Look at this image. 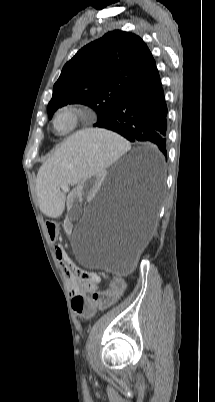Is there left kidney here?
Masks as SVG:
<instances>
[{
    "label": "left kidney",
    "instance_id": "left-kidney-1",
    "mask_svg": "<svg viewBox=\"0 0 215 402\" xmlns=\"http://www.w3.org/2000/svg\"><path fill=\"white\" fill-rule=\"evenodd\" d=\"M103 175L104 172L99 170L94 175H86L85 178L82 179V184H75L72 191L69 193V205H80L81 200H92L94 198V193L99 191L98 184L103 179ZM75 226L76 223L74 220L64 221L65 229H74Z\"/></svg>",
    "mask_w": 215,
    "mask_h": 402
}]
</instances>
